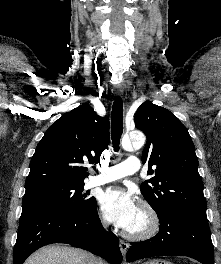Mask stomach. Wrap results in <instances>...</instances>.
Returning a JSON list of instances; mask_svg holds the SVG:
<instances>
[{"mask_svg": "<svg viewBox=\"0 0 221 264\" xmlns=\"http://www.w3.org/2000/svg\"><path fill=\"white\" fill-rule=\"evenodd\" d=\"M144 264H172L169 261L161 260V259H154L148 262H145Z\"/></svg>", "mask_w": 221, "mask_h": 264, "instance_id": "0dacf381", "label": "stomach"}]
</instances>
